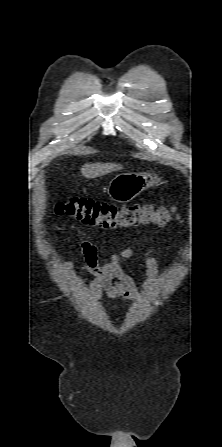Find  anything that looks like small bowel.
I'll return each mask as SVG.
<instances>
[{"instance_id":"1","label":"small bowel","mask_w":222,"mask_h":447,"mask_svg":"<svg viewBox=\"0 0 222 447\" xmlns=\"http://www.w3.org/2000/svg\"><path fill=\"white\" fill-rule=\"evenodd\" d=\"M81 248L85 258L81 267L94 276L89 286L95 299H100L103 293L123 302L136 300L139 297L136 281L120 265L121 259L132 256L131 249L112 254L108 262L101 263L97 248L92 242L84 240ZM68 267L72 269L71 264H68ZM146 274L147 279L142 282V287L150 295L158 280V260L151 251L146 253Z\"/></svg>"}]
</instances>
